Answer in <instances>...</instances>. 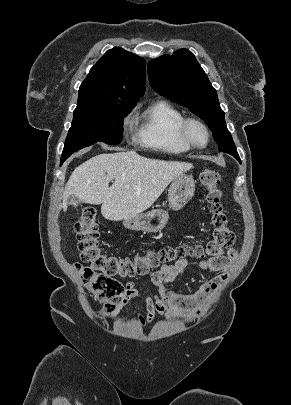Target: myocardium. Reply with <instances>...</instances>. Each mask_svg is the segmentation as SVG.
<instances>
[{
  "mask_svg": "<svg viewBox=\"0 0 291 405\" xmlns=\"http://www.w3.org/2000/svg\"><path fill=\"white\" fill-rule=\"evenodd\" d=\"M192 126H197L200 129L203 130L206 136L205 143L202 145H199L195 143L190 135V130ZM178 136L181 139L182 142H184L187 146H189L191 149H203L205 148L211 138L210 130L207 127V125L201 121L198 118L195 117H184V119L181 121V123L178 126Z\"/></svg>",
  "mask_w": 291,
  "mask_h": 405,
  "instance_id": "myocardium-1",
  "label": "myocardium"
}]
</instances>
